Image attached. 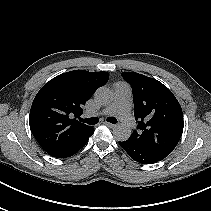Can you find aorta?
Masks as SVG:
<instances>
[{"instance_id": "762f6f07", "label": "aorta", "mask_w": 211, "mask_h": 211, "mask_svg": "<svg viewBox=\"0 0 211 211\" xmlns=\"http://www.w3.org/2000/svg\"><path fill=\"white\" fill-rule=\"evenodd\" d=\"M95 99L101 103H107L112 99V92L106 87H100L95 92ZM113 135L118 141H126L131 136V129L125 124H118L113 129Z\"/></svg>"}]
</instances>
